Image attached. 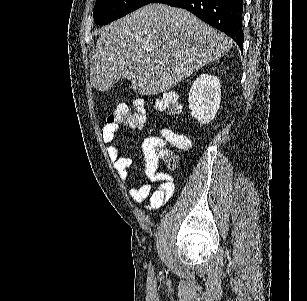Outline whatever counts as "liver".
Returning a JSON list of instances; mask_svg holds the SVG:
<instances>
[{
    "instance_id": "liver-1",
    "label": "liver",
    "mask_w": 307,
    "mask_h": 301,
    "mask_svg": "<svg viewBox=\"0 0 307 301\" xmlns=\"http://www.w3.org/2000/svg\"><path fill=\"white\" fill-rule=\"evenodd\" d=\"M90 76L96 90L120 78L137 94H159L177 86L207 62L230 50L233 40L185 8L145 4L98 30Z\"/></svg>"
}]
</instances>
